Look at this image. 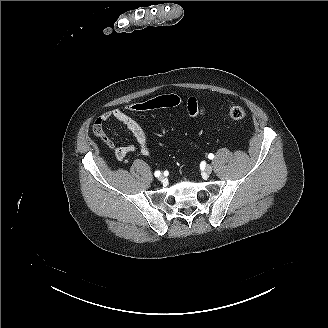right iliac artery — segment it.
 Returning a JSON list of instances; mask_svg holds the SVG:
<instances>
[{"mask_svg":"<svg viewBox=\"0 0 328 328\" xmlns=\"http://www.w3.org/2000/svg\"><path fill=\"white\" fill-rule=\"evenodd\" d=\"M154 175H155V177H158V176L160 175V171H156V172L154 173Z\"/></svg>","mask_w":328,"mask_h":328,"instance_id":"right-iliac-artery-1","label":"right iliac artery"}]
</instances>
